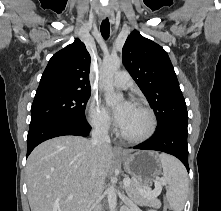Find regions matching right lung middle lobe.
<instances>
[{
	"label": "right lung middle lobe",
	"instance_id": "obj_1",
	"mask_svg": "<svg viewBox=\"0 0 221 211\" xmlns=\"http://www.w3.org/2000/svg\"><path fill=\"white\" fill-rule=\"evenodd\" d=\"M90 94V91L74 90L36 92L31 106L30 125L54 118L85 121L84 110Z\"/></svg>",
	"mask_w": 221,
	"mask_h": 211
}]
</instances>
